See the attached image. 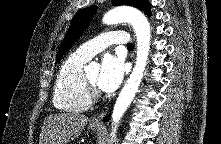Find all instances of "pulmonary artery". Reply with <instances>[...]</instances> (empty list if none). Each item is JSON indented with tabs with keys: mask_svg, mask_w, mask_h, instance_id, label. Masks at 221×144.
Segmentation results:
<instances>
[{
	"mask_svg": "<svg viewBox=\"0 0 221 144\" xmlns=\"http://www.w3.org/2000/svg\"><path fill=\"white\" fill-rule=\"evenodd\" d=\"M129 35L124 31H109L98 35L81 45L75 53L86 60H90L94 55L106 49L112 44H127Z\"/></svg>",
	"mask_w": 221,
	"mask_h": 144,
	"instance_id": "obj_1",
	"label": "pulmonary artery"
}]
</instances>
